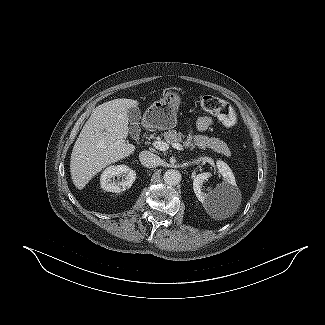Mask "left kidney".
<instances>
[{
	"label": "left kidney",
	"instance_id": "obj_1",
	"mask_svg": "<svg viewBox=\"0 0 325 325\" xmlns=\"http://www.w3.org/2000/svg\"><path fill=\"white\" fill-rule=\"evenodd\" d=\"M218 172L223 177V182L218 184L213 191L205 193L202 191V185L205 180L211 177V173L204 172L198 174L193 181V190L198 200L206 207H210L214 203L238 192L234 174L230 167L223 161H217Z\"/></svg>",
	"mask_w": 325,
	"mask_h": 325
}]
</instances>
